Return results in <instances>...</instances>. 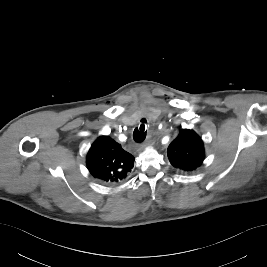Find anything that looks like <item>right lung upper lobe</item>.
Instances as JSON below:
<instances>
[{"instance_id": "1", "label": "right lung upper lobe", "mask_w": 267, "mask_h": 267, "mask_svg": "<svg viewBox=\"0 0 267 267\" xmlns=\"http://www.w3.org/2000/svg\"><path fill=\"white\" fill-rule=\"evenodd\" d=\"M133 167L134 157L109 136L99 137L87 155L89 172L103 183H120Z\"/></svg>"}]
</instances>
